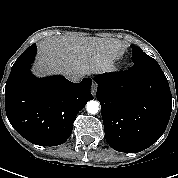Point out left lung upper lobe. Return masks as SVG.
Segmentation results:
<instances>
[{
	"instance_id": "left-lung-upper-lobe-1",
	"label": "left lung upper lobe",
	"mask_w": 178,
	"mask_h": 178,
	"mask_svg": "<svg viewBox=\"0 0 178 178\" xmlns=\"http://www.w3.org/2000/svg\"><path fill=\"white\" fill-rule=\"evenodd\" d=\"M131 48H132V61H133V63L153 59L152 57L145 54L140 47L131 46Z\"/></svg>"
}]
</instances>
